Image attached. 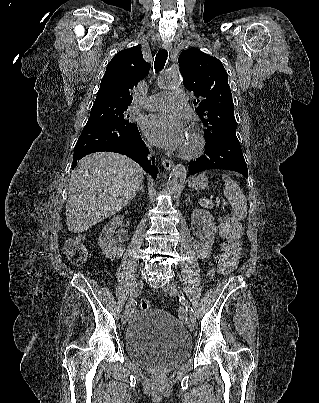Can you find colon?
<instances>
[{"mask_svg": "<svg viewBox=\"0 0 319 403\" xmlns=\"http://www.w3.org/2000/svg\"><path fill=\"white\" fill-rule=\"evenodd\" d=\"M220 233L223 238L221 254L218 257V268L222 273H229L236 268L242 253V229L239 222L233 218H226L220 223ZM66 254L72 264H83L87 258L84 240L76 237L66 243ZM151 304L147 299L139 301L141 310H148Z\"/></svg>", "mask_w": 319, "mask_h": 403, "instance_id": "obj_1", "label": "colon"}]
</instances>
